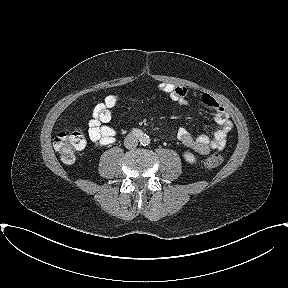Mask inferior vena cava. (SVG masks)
<instances>
[{
	"mask_svg": "<svg viewBox=\"0 0 288 288\" xmlns=\"http://www.w3.org/2000/svg\"><path fill=\"white\" fill-rule=\"evenodd\" d=\"M124 145L127 149L136 148L138 145V139L134 135H128L124 140Z\"/></svg>",
	"mask_w": 288,
	"mask_h": 288,
	"instance_id": "1",
	"label": "inferior vena cava"
}]
</instances>
